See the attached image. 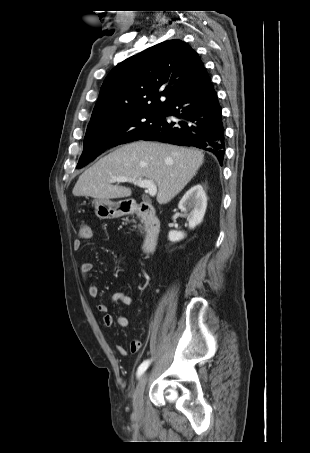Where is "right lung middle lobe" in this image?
<instances>
[{"mask_svg": "<svg viewBox=\"0 0 310 453\" xmlns=\"http://www.w3.org/2000/svg\"><path fill=\"white\" fill-rule=\"evenodd\" d=\"M162 116L163 110L134 111L88 124L77 168L85 166L110 147L139 140L162 120Z\"/></svg>", "mask_w": 310, "mask_h": 453, "instance_id": "1", "label": "right lung middle lobe"}]
</instances>
